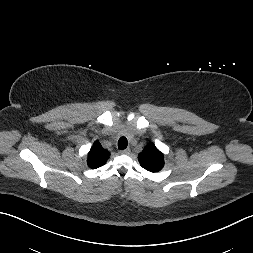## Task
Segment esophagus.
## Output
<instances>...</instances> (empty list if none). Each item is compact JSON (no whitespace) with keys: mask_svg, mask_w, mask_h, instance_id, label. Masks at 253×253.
<instances>
[{"mask_svg":"<svg viewBox=\"0 0 253 253\" xmlns=\"http://www.w3.org/2000/svg\"><path fill=\"white\" fill-rule=\"evenodd\" d=\"M121 154H129L130 153V149L127 148V149H123V150H120L119 151Z\"/></svg>","mask_w":253,"mask_h":253,"instance_id":"34e87169","label":"esophagus"}]
</instances>
